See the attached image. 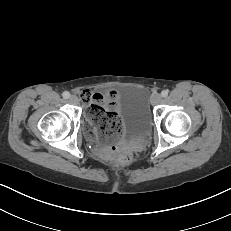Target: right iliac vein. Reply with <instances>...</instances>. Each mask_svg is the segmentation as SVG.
I'll return each instance as SVG.
<instances>
[{
    "label": "right iliac vein",
    "instance_id": "63e3f726",
    "mask_svg": "<svg viewBox=\"0 0 231 231\" xmlns=\"http://www.w3.org/2000/svg\"><path fill=\"white\" fill-rule=\"evenodd\" d=\"M69 101H70L71 104L76 105V104L78 103L79 100H78V97H77V96L72 95V96L69 98Z\"/></svg>",
    "mask_w": 231,
    "mask_h": 231
}]
</instances>
